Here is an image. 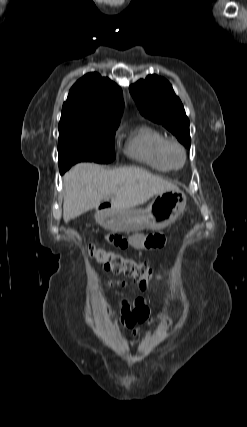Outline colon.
<instances>
[{
  "label": "colon",
  "mask_w": 247,
  "mask_h": 427,
  "mask_svg": "<svg viewBox=\"0 0 247 427\" xmlns=\"http://www.w3.org/2000/svg\"><path fill=\"white\" fill-rule=\"evenodd\" d=\"M89 255L98 263L102 264L106 270L114 273H122L133 278L142 290L152 287L155 275L148 263L138 262L126 258L121 254L89 245L87 247Z\"/></svg>",
  "instance_id": "1"
}]
</instances>
